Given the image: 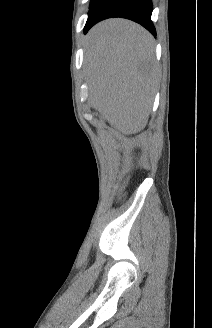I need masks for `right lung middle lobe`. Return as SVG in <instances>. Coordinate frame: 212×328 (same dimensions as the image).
I'll use <instances>...</instances> for the list:
<instances>
[{
    "label": "right lung middle lobe",
    "instance_id": "1",
    "mask_svg": "<svg viewBox=\"0 0 212 328\" xmlns=\"http://www.w3.org/2000/svg\"><path fill=\"white\" fill-rule=\"evenodd\" d=\"M97 1L98 0H91L89 9H91Z\"/></svg>",
    "mask_w": 212,
    "mask_h": 328
}]
</instances>
